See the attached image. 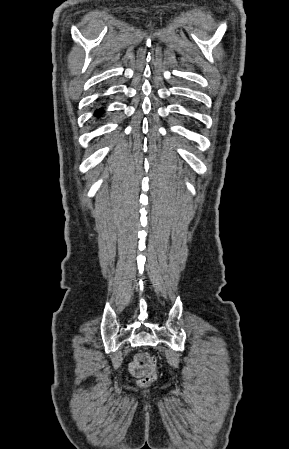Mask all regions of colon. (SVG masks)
Masks as SVG:
<instances>
[{"label":"colon","mask_w":289,"mask_h":449,"mask_svg":"<svg viewBox=\"0 0 289 449\" xmlns=\"http://www.w3.org/2000/svg\"><path fill=\"white\" fill-rule=\"evenodd\" d=\"M147 362L151 370L144 376L140 377L138 383L140 386H148L155 381L157 377V358L154 355L147 354Z\"/></svg>","instance_id":"obj_1"}]
</instances>
